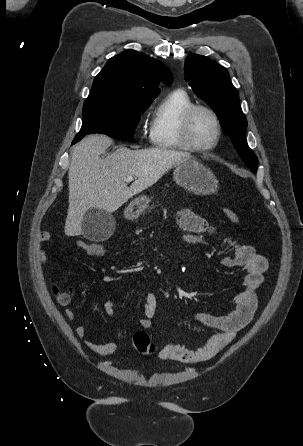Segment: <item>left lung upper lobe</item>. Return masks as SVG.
Returning a JSON list of instances; mask_svg holds the SVG:
<instances>
[{
    "label": "left lung upper lobe",
    "instance_id": "5c2ea615",
    "mask_svg": "<svg viewBox=\"0 0 303 446\" xmlns=\"http://www.w3.org/2000/svg\"><path fill=\"white\" fill-rule=\"evenodd\" d=\"M184 69L185 79L193 92L214 110L238 154L251 171L256 173L258 159L247 144V120L227 70L206 56L197 54L187 56Z\"/></svg>",
    "mask_w": 303,
    "mask_h": 446
}]
</instances>
